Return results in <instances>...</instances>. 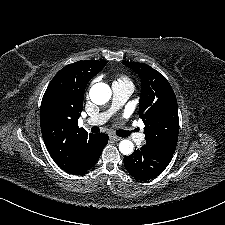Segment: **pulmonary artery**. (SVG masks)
<instances>
[{"instance_id":"1","label":"pulmonary artery","mask_w":225,"mask_h":225,"mask_svg":"<svg viewBox=\"0 0 225 225\" xmlns=\"http://www.w3.org/2000/svg\"><path fill=\"white\" fill-rule=\"evenodd\" d=\"M112 89H113V103L111 109L107 112L93 115L92 117L86 120L85 122L86 125L97 126L104 124L109 119L112 112L118 109L122 104H124L128 100V98L133 93L134 87L133 85L126 83H114ZM126 132L129 134V136H132L138 144L144 143L145 134L143 133L136 134L134 130L131 128L126 129Z\"/></svg>"}]
</instances>
